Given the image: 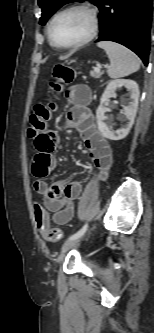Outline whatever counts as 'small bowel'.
Instances as JSON below:
<instances>
[{
    "mask_svg": "<svg viewBox=\"0 0 154 333\" xmlns=\"http://www.w3.org/2000/svg\"><path fill=\"white\" fill-rule=\"evenodd\" d=\"M66 97L72 106L67 117L68 124L80 133L93 164L99 170V178L104 180L112 164V149L97 128L93 113L88 108L91 91L84 84H75L68 89ZM57 145V133L48 128L34 138L36 153L32 159V172L38 180L34 182L33 189L43 197L44 206L52 213L53 222L63 225L74 216V201L82 193V184L79 181H56L48 185L42 180L56 166L54 152Z\"/></svg>",
    "mask_w": 154,
    "mask_h": 333,
    "instance_id": "small-bowel-1",
    "label": "small bowel"
}]
</instances>
